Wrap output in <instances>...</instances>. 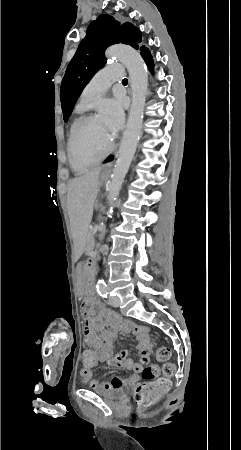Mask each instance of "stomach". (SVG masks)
<instances>
[{
	"label": "stomach",
	"instance_id": "0dacf381",
	"mask_svg": "<svg viewBox=\"0 0 241 450\" xmlns=\"http://www.w3.org/2000/svg\"><path fill=\"white\" fill-rule=\"evenodd\" d=\"M106 178V176L103 174L101 176V180L103 181ZM76 284L77 287L81 292L84 291V272H83V265L79 264L77 266V275H76Z\"/></svg>",
	"mask_w": 241,
	"mask_h": 450
}]
</instances>
